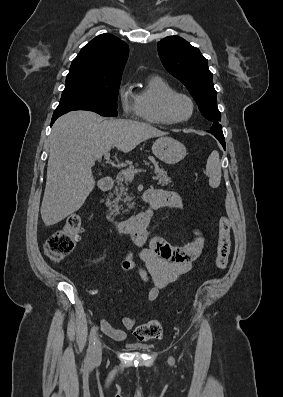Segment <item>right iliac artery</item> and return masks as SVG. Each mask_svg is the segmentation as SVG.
<instances>
[{
  "label": "right iliac artery",
  "mask_w": 283,
  "mask_h": 397,
  "mask_svg": "<svg viewBox=\"0 0 283 397\" xmlns=\"http://www.w3.org/2000/svg\"><path fill=\"white\" fill-rule=\"evenodd\" d=\"M97 330H98V327L97 326H93L92 329H91V332H90L89 346H88V350H87L88 358H91L93 356V353H94Z\"/></svg>",
  "instance_id": "1"
}]
</instances>
